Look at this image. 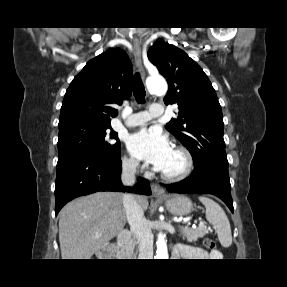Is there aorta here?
<instances>
[{"mask_svg":"<svg viewBox=\"0 0 287 287\" xmlns=\"http://www.w3.org/2000/svg\"><path fill=\"white\" fill-rule=\"evenodd\" d=\"M148 90L153 93L165 94L167 91L166 81L162 78L151 79L147 83ZM156 259H168V250L165 235L159 232L157 238Z\"/></svg>","mask_w":287,"mask_h":287,"instance_id":"1","label":"aorta"}]
</instances>
